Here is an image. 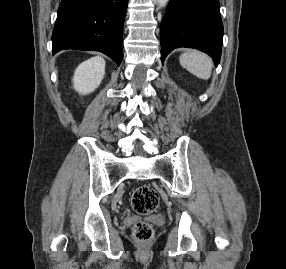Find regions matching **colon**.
Listing matches in <instances>:
<instances>
[{"label":"colon","mask_w":286,"mask_h":269,"mask_svg":"<svg viewBox=\"0 0 286 269\" xmlns=\"http://www.w3.org/2000/svg\"><path fill=\"white\" fill-rule=\"evenodd\" d=\"M131 205L137 213L147 215L158 208L159 196L152 187L141 185L133 191ZM152 236L153 228L149 223L141 221L134 225L133 237L136 241L147 243L151 240Z\"/></svg>","instance_id":"obj_1"}]
</instances>
